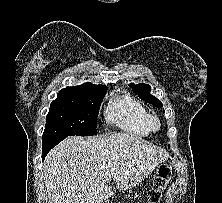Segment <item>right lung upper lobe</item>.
Instances as JSON below:
<instances>
[{"instance_id": "obj_1", "label": "right lung upper lobe", "mask_w": 222, "mask_h": 203, "mask_svg": "<svg viewBox=\"0 0 222 203\" xmlns=\"http://www.w3.org/2000/svg\"><path fill=\"white\" fill-rule=\"evenodd\" d=\"M61 91H107V86L95 85L90 82H87V83H84L80 86L64 88Z\"/></svg>"}]
</instances>
